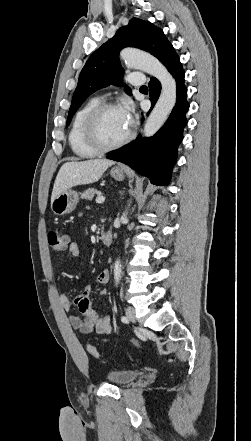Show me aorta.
Wrapping results in <instances>:
<instances>
[{
  "mask_svg": "<svg viewBox=\"0 0 251 441\" xmlns=\"http://www.w3.org/2000/svg\"><path fill=\"white\" fill-rule=\"evenodd\" d=\"M120 55L128 67L142 70L156 77L161 83L160 97L144 125V136L150 137L162 127L175 106L177 99L176 81L162 63L150 54L134 49H124ZM126 218L127 211L121 216V221L123 222ZM114 279L116 285L121 279L119 259L116 260L114 265Z\"/></svg>",
  "mask_w": 251,
  "mask_h": 441,
  "instance_id": "aorta-1",
  "label": "aorta"
}]
</instances>
